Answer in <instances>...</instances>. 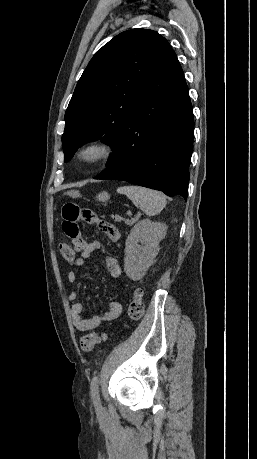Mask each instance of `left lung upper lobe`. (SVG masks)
I'll use <instances>...</instances> for the list:
<instances>
[{
    "mask_svg": "<svg viewBox=\"0 0 257 459\" xmlns=\"http://www.w3.org/2000/svg\"><path fill=\"white\" fill-rule=\"evenodd\" d=\"M172 52L160 34L136 28L120 33L95 53L65 113V162L93 140L115 150L124 121Z\"/></svg>",
    "mask_w": 257,
    "mask_h": 459,
    "instance_id": "1",
    "label": "left lung upper lobe"
}]
</instances>
